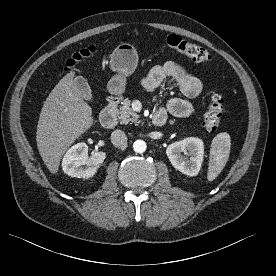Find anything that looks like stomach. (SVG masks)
<instances>
[{
  "instance_id": "0dacf381",
  "label": "stomach",
  "mask_w": 276,
  "mask_h": 276,
  "mask_svg": "<svg viewBox=\"0 0 276 276\" xmlns=\"http://www.w3.org/2000/svg\"><path fill=\"white\" fill-rule=\"evenodd\" d=\"M138 56L134 47L122 43L111 54L110 68L117 72L108 82V91L113 95H121L125 91L126 77L131 75L137 66Z\"/></svg>"
}]
</instances>
